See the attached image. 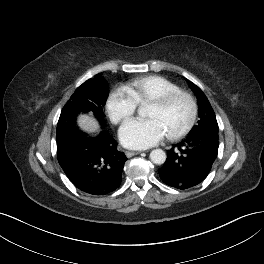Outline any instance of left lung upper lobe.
<instances>
[{
    "label": "left lung upper lobe",
    "mask_w": 264,
    "mask_h": 264,
    "mask_svg": "<svg viewBox=\"0 0 264 264\" xmlns=\"http://www.w3.org/2000/svg\"><path fill=\"white\" fill-rule=\"evenodd\" d=\"M189 86L194 91L195 95L197 96L198 113L200 117V120L198 121V125L194 126L190 133H194L202 129L218 130L216 116L205 94L194 83L189 82Z\"/></svg>",
    "instance_id": "5c2ea615"
}]
</instances>
